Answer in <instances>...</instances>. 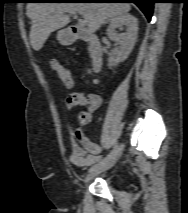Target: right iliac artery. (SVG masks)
<instances>
[{
    "mask_svg": "<svg viewBox=\"0 0 188 213\" xmlns=\"http://www.w3.org/2000/svg\"><path fill=\"white\" fill-rule=\"evenodd\" d=\"M118 148V144H115V146L113 147V149L110 151V153L102 160H99L96 162V164H94L88 172H91L92 170H94L95 168L99 167L100 165L104 164L105 162H107L115 153L116 149Z\"/></svg>",
    "mask_w": 188,
    "mask_h": 213,
    "instance_id": "right-iliac-artery-1",
    "label": "right iliac artery"
}]
</instances>
